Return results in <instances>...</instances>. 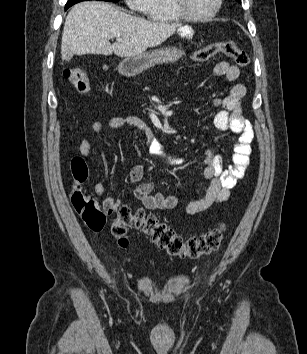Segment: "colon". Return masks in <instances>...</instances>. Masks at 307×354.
I'll list each match as a JSON object with an SVG mask.
<instances>
[{"mask_svg": "<svg viewBox=\"0 0 307 354\" xmlns=\"http://www.w3.org/2000/svg\"><path fill=\"white\" fill-rule=\"evenodd\" d=\"M218 54L231 58L240 67H246L249 64L247 52L240 49L233 40L213 42L194 52L192 59L203 62ZM63 75L80 91H84L88 86V73L81 67L67 68L63 71ZM71 174L76 183L71 193V202L78 215L90 229L100 231L105 227L106 215L115 212L116 217L110 224V231L121 247L128 246L126 232L129 228L141 230L169 256L179 258L196 259L209 255L218 249L223 240V226L211 229L198 237L184 239L168 225L160 222L153 214H148L141 208L133 210L126 205H120L111 211L104 205L101 206L93 196L81 189V184L88 177V169L80 157L72 159Z\"/></svg>", "mask_w": 307, "mask_h": 354, "instance_id": "1", "label": "colon"}]
</instances>
